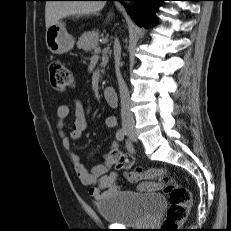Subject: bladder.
I'll list each match as a JSON object with an SVG mask.
<instances>
[{
  "label": "bladder",
  "instance_id": "1",
  "mask_svg": "<svg viewBox=\"0 0 231 231\" xmlns=\"http://www.w3.org/2000/svg\"><path fill=\"white\" fill-rule=\"evenodd\" d=\"M165 207L161 194L114 193L97 204L98 212L106 221L124 226L145 225L157 218Z\"/></svg>",
  "mask_w": 231,
  "mask_h": 231
}]
</instances>
